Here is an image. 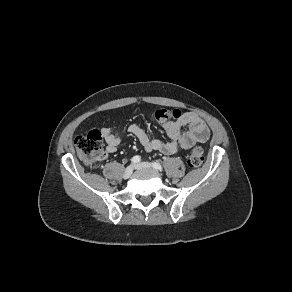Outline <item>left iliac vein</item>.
<instances>
[{
    "label": "left iliac vein",
    "instance_id": "4c4485c4",
    "mask_svg": "<svg viewBox=\"0 0 292 292\" xmlns=\"http://www.w3.org/2000/svg\"><path fill=\"white\" fill-rule=\"evenodd\" d=\"M153 166L148 162H141L135 165V169L141 170V169H148L152 168Z\"/></svg>",
    "mask_w": 292,
    "mask_h": 292
}]
</instances>
